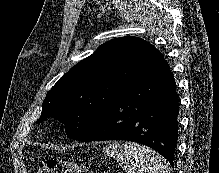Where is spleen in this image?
<instances>
[{"label":"spleen","instance_id":"3e777b00","mask_svg":"<svg viewBox=\"0 0 219 173\" xmlns=\"http://www.w3.org/2000/svg\"><path fill=\"white\" fill-rule=\"evenodd\" d=\"M104 149L127 173H173L158 153L135 142L113 143Z\"/></svg>","mask_w":219,"mask_h":173}]
</instances>
